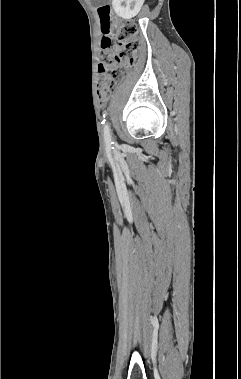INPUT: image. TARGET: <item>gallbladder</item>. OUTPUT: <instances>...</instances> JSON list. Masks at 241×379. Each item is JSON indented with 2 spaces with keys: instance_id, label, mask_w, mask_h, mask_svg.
Instances as JSON below:
<instances>
[{
  "instance_id": "gallbladder-1",
  "label": "gallbladder",
  "mask_w": 241,
  "mask_h": 379,
  "mask_svg": "<svg viewBox=\"0 0 241 379\" xmlns=\"http://www.w3.org/2000/svg\"><path fill=\"white\" fill-rule=\"evenodd\" d=\"M99 0H95V3H97Z\"/></svg>"
}]
</instances>
